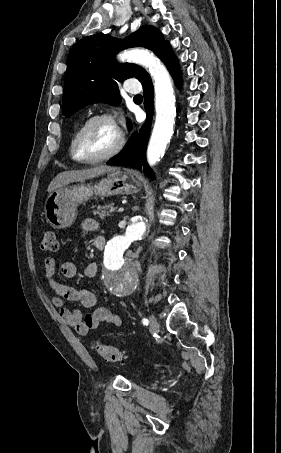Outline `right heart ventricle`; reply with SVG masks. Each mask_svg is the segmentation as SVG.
Segmentation results:
<instances>
[{"label":"right heart ventricle","instance_id":"1","mask_svg":"<svg viewBox=\"0 0 281 453\" xmlns=\"http://www.w3.org/2000/svg\"><path fill=\"white\" fill-rule=\"evenodd\" d=\"M73 138H74V135L72 136L71 141H70L71 152L73 151Z\"/></svg>","mask_w":281,"mask_h":453}]
</instances>
